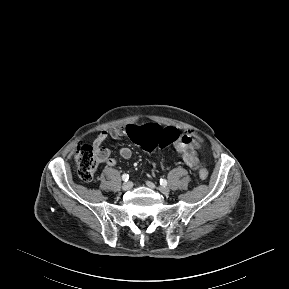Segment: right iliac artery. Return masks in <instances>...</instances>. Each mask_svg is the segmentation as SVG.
<instances>
[{
	"instance_id": "1",
	"label": "right iliac artery",
	"mask_w": 289,
	"mask_h": 289,
	"mask_svg": "<svg viewBox=\"0 0 289 289\" xmlns=\"http://www.w3.org/2000/svg\"><path fill=\"white\" fill-rule=\"evenodd\" d=\"M128 179H129V175L128 174L125 173V174L122 175V180L123 181L127 182Z\"/></svg>"
}]
</instances>
